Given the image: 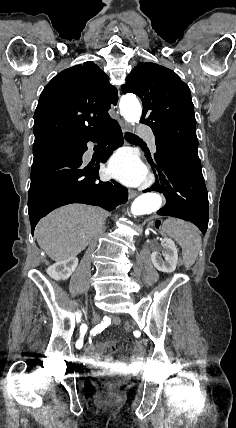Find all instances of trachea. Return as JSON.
Here are the masks:
<instances>
[{
  "label": "trachea",
  "instance_id": "trachea-1",
  "mask_svg": "<svg viewBox=\"0 0 236 428\" xmlns=\"http://www.w3.org/2000/svg\"><path fill=\"white\" fill-rule=\"evenodd\" d=\"M125 138H126V140H131V139H138L139 137H137V135H134V134L128 132L125 134Z\"/></svg>",
  "mask_w": 236,
  "mask_h": 428
}]
</instances>
